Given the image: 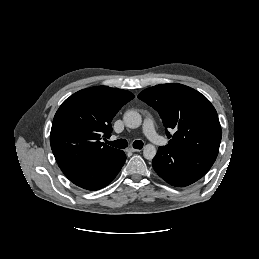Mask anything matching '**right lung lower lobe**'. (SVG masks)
I'll list each match as a JSON object with an SVG mask.
<instances>
[{
  "instance_id": "98d812e1",
  "label": "right lung lower lobe",
  "mask_w": 259,
  "mask_h": 259,
  "mask_svg": "<svg viewBox=\"0 0 259 259\" xmlns=\"http://www.w3.org/2000/svg\"><path fill=\"white\" fill-rule=\"evenodd\" d=\"M125 160V153L118 150L114 154L86 166L66 168L62 169V172L75 185L87 190H98L108 185L116 177Z\"/></svg>"
}]
</instances>
